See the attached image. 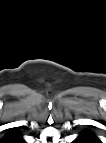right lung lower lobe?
I'll list each match as a JSON object with an SVG mask.
<instances>
[{"label":"right lung lower lobe","instance_id":"right-lung-lower-lobe-1","mask_svg":"<svg viewBox=\"0 0 106 143\" xmlns=\"http://www.w3.org/2000/svg\"><path fill=\"white\" fill-rule=\"evenodd\" d=\"M22 142H23V139L20 142H18V143H22Z\"/></svg>","mask_w":106,"mask_h":143}]
</instances>
